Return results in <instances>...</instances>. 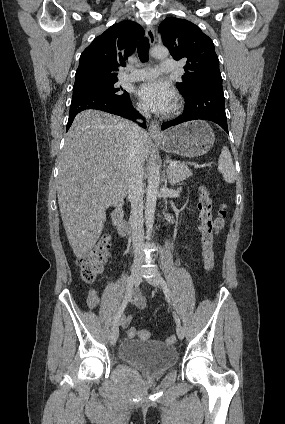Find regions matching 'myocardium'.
<instances>
[{"instance_id":"1","label":"myocardium","mask_w":285,"mask_h":424,"mask_svg":"<svg viewBox=\"0 0 285 424\" xmlns=\"http://www.w3.org/2000/svg\"><path fill=\"white\" fill-rule=\"evenodd\" d=\"M179 108H180V104L176 102L172 109V113H176L179 110Z\"/></svg>"}]
</instances>
